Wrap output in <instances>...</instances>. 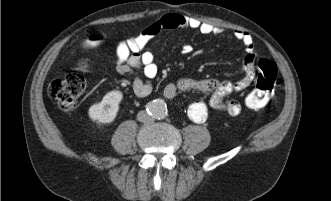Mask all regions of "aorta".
<instances>
[{"instance_id": "obj_1", "label": "aorta", "mask_w": 331, "mask_h": 201, "mask_svg": "<svg viewBox=\"0 0 331 201\" xmlns=\"http://www.w3.org/2000/svg\"><path fill=\"white\" fill-rule=\"evenodd\" d=\"M150 112L155 118H164L167 114V106L163 100L156 99L150 104Z\"/></svg>"}]
</instances>
